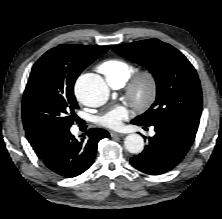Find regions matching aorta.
Returning <instances> with one entry per match:
<instances>
[{
	"instance_id": "obj_1",
	"label": "aorta",
	"mask_w": 222,
	"mask_h": 219,
	"mask_svg": "<svg viewBox=\"0 0 222 219\" xmlns=\"http://www.w3.org/2000/svg\"><path fill=\"white\" fill-rule=\"evenodd\" d=\"M77 98L86 106L99 107L109 98V89L105 81L96 74H84L75 84ZM127 151L133 154L141 153L144 149V140L139 134H129L124 140Z\"/></svg>"
}]
</instances>
